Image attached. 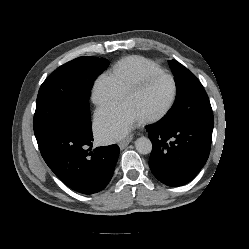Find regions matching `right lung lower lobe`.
I'll use <instances>...</instances> for the list:
<instances>
[{
  "instance_id": "obj_1",
  "label": "right lung lower lobe",
  "mask_w": 249,
  "mask_h": 249,
  "mask_svg": "<svg viewBox=\"0 0 249 249\" xmlns=\"http://www.w3.org/2000/svg\"><path fill=\"white\" fill-rule=\"evenodd\" d=\"M43 159L71 189L92 194L103 190L112 178L119 147L92 149V123L57 125L35 134Z\"/></svg>"
}]
</instances>
